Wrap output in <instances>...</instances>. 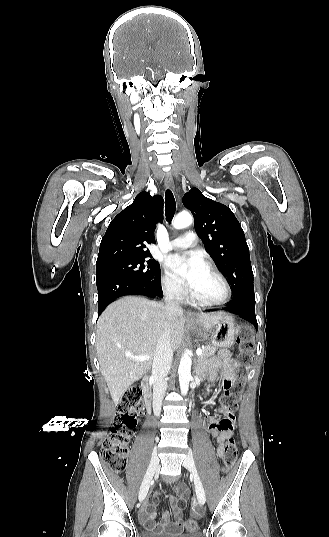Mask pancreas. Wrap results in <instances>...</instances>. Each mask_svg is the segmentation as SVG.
I'll return each mask as SVG.
<instances>
[{"label": "pancreas", "mask_w": 329, "mask_h": 537, "mask_svg": "<svg viewBox=\"0 0 329 537\" xmlns=\"http://www.w3.org/2000/svg\"><path fill=\"white\" fill-rule=\"evenodd\" d=\"M217 348L213 346H206L202 350V355L199 356V362H205L208 358L216 352Z\"/></svg>", "instance_id": "cf45deb5"}]
</instances>
